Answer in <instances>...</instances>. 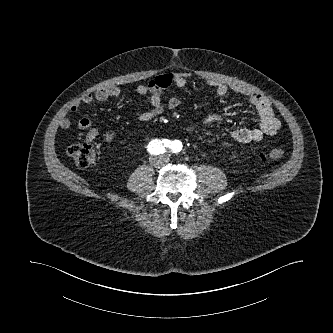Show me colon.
<instances>
[{"label": "colon", "mask_w": 333, "mask_h": 333, "mask_svg": "<svg viewBox=\"0 0 333 333\" xmlns=\"http://www.w3.org/2000/svg\"><path fill=\"white\" fill-rule=\"evenodd\" d=\"M96 137H86L84 142H78L71 145L68 149V154L72 158L74 164L78 167H87L93 164L98 157L96 148L92 141ZM110 134L105 135L106 140H110ZM285 151L281 148H274L269 151L262 152L260 158L263 161L280 159L284 156Z\"/></svg>", "instance_id": "colon-1"}]
</instances>
